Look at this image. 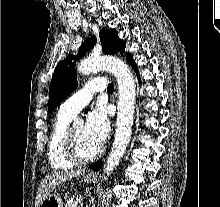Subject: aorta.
Returning a JSON list of instances; mask_svg holds the SVG:
<instances>
[{"label":"aorta","mask_w":220,"mask_h":207,"mask_svg":"<svg viewBox=\"0 0 220 207\" xmlns=\"http://www.w3.org/2000/svg\"><path fill=\"white\" fill-rule=\"evenodd\" d=\"M100 70H108L116 77L119 93L115 137L104 169L106 174L104 179H107L119 165L130 142L134 120L136 89L132 72L128 66L117 57H89L82 61L77 68L78 73L82 75H88ZM77 122H82V120H77Z\"/></svg>","instance_id":"obj_1"}]
</instances>
